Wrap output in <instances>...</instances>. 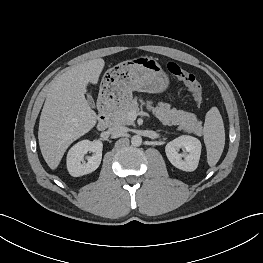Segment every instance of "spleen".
<instances>
[{
    "label": "spleen",
    "mask_w": 263,
    "mask_h": 263,
    "mask_svg": "<svg viewBox=\"0 0 263 263\" xmlns=\"http://www.w3.org/2000/svg\"><path fill=\"white\" fill-rule=\"evenodd\" d=\"M203 137L207 162L212 167L219 161L225 145L224 124L217 107H212L206 114Z\"/></svg>",
    "instance_id": "obj_1"
}]
</instances>
